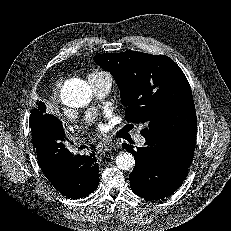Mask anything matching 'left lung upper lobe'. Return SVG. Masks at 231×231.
<instances>
[{"instance_id": "left-lung-upper-lobe-1", "label": "left lung upper lobe", "mask_w": 231, "mask_h": 231, "mask_svg": "<svg viewBox=\"0 0 231 231\" xmlns=\"http://www.w3.org/2000/svg\"><path fill=\"white\" fill-rule=\"evenodd\" d=\"M93 60L109 71L126 107L125 119L145 123V138L176 146L195 142L197 121L190 85L168 56L138 51L100 54Z\"/></svg>"}]
</instances>
